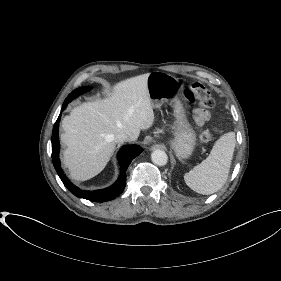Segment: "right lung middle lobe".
Segmentation results:
<instances>
[{"instance_id": "right-lung-middle-lobe-1", "label": "right lung middle lobe", "mask_w": 281, "mask_h": 281, "mask_svg": "<svg viewBox=\"0 0 281 281\" xmlns=\"http://www.w3.org/2000/svg\"><path fill=\"white\" fill-rule=\"evenodd\" d=\"M90 89H91L90 86L80 87V88L72 91V93H70L68 97H71L72 99H74L75 97L79 96L80 94H83L86 91H89Z\"/></svg>"}]
</instances>
